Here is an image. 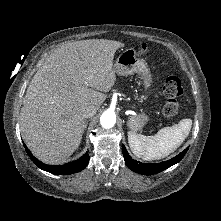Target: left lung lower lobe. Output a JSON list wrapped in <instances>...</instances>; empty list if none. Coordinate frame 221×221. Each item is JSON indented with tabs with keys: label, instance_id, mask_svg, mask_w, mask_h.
I'll use <instances>...</instances> for the list:
<instances>
[{
	"label": "left lung lower lobe",
	"instance_id": "1",
	"mask_svg": "<svg viewBox=\"0 0 221 221\" xmlns=\"http://www.w3.org/2000/svg\"><path fill=\"white\" fill-rule=\"evenodd\" d=\"M187 150L188 148H186L176 157L168 161L147 164V163H141L139 161L132 159L130 155L128 154V152L126 151L125 146L122 145V152H123L124 160L128 168L136 173L143 174V175H153V174H157L159 172L164 171L165 169L178 163L185 156Z\"/></svg>",
	"mask_w": 221,
	"mask_h": 221
}]
</instances>
